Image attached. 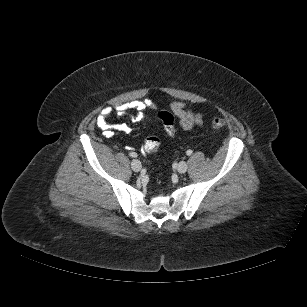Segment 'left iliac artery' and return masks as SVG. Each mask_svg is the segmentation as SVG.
<instances>
[{
    "mask_svg": "<svg viewBox=\"0 0 307 307\" xmlns=\"http://www.w3.org/2000/svg\"><path fill=\"white\" fill-rule=\"evenodd\" d=\"M192 153H193V151L190 150V149L186 151V154H187L188 156H190Z\"/></svg>",
    "mask_w": 307,
    "mask_h": 307,
    "instance_id": "1",
    "label": "left iliac artery"
}]
</instances>
